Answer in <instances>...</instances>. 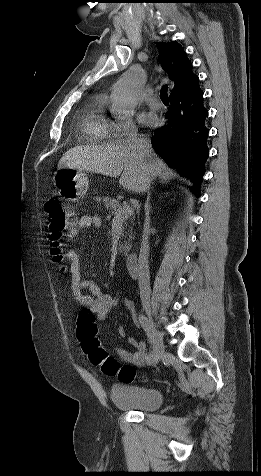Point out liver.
Masks as SVG:
<instances>
[{"mask_svg": "<svg viewBox=\"0 0 261 476\" xmlns=\"http://www.w3.org/2000/svg\"><path fill=\"white\" fill-rule=\"evenodd\" d=\"M149 163L152 178L159 177L167 182L176 173L151 151ZM144 164L126 143L95 146H77L69 149L60 159L58 169L86 170L110 177H119V184L134 193L144 192Z\"/></svg>", "mask_w": 261, "mask_h": 476, "instance_id": "liver-1", "label": "liver"}]
</instances>
